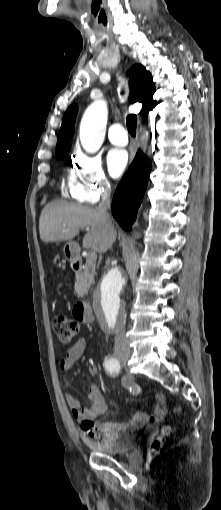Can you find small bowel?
Here are the masks:
<instances>
[{
  "label": "small bowel",
  "instance_id": "obj_1",
  "mask_svg": "<svg viewBox=\"0 0 221 510\" xmlns=\"http://www.w3.org/2000/svg\"><path fill=\"white\" fill-rule=\"evenodd\" d=\"M85 350L86 341L83 338L76 339L67 348L60 360V370L63 372L70 371L75 362L84 354ZM87 397L91 403L88 407H82L78 399L71 393H65L66 404L70 408L73 417L81 423L86 437L96 441L98 435H101L103 437L102 443L117 440L121 435L135 431L148 422L159 421L167 413L165 397L162 394H156L152 414L138 410L134 417L126 422L97 421L98 418L104 416L107 412L105 398L95 384L88 385Z\"/></svg>",
  "mask_w": 221,
  "mask_h": 510
}]
</instances>
